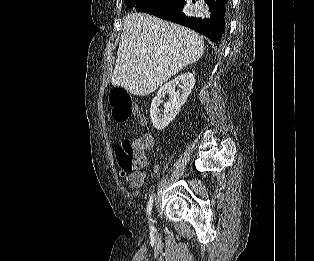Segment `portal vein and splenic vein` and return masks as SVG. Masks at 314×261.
<instances>
[{"label":"portal vein and splenic vein","mask_w":314,"mask_h":261,"mask_svg":"<svg viewBox=\"0 0 314 261\" xmlns=\"http://www.w3.org/2000/svg\"><path fill=\"white\" fill-rule=\"evenodd\" d=\"M157 70L161 71V68L158 67Z\"/></svg>","instance_id":"18ae733b"}]
</instances>
